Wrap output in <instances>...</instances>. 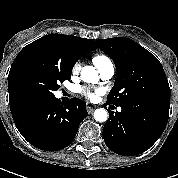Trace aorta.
I'll return each instance as SVG.
<instances>
[{"label":"aorta","mask_w":178,"mask_h":178,"mask_svg":"<svg viewBox=\"0 0 178 178\" xmlns=\"http://www.w3.org/2000/svg\"><path fill=\"white\" fill-rule=\"evenodd\" d=\"M81 78L84 82L95 83L98 81V72L93 66H85L81 71ZM94 119L98 122H105L108 119V112L104 108L94 111Z\"/></svg>","instance_id":"1"}]
</instances>
